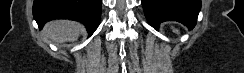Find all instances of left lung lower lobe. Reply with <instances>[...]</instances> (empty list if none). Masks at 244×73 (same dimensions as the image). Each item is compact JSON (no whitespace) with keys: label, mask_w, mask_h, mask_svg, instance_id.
<instances>
[{"label":"left lung lower lobe","mask_w":244,"mask_h":73,"mask_svg":"<svg viewBox=\"0 0 244 73\" xmlns=\"http://www.w3.org/2000/svg\"><path fill=\"white\" fill-rule=\"evenodd\" d=\"M149 24L158 28L163 21H177L194 28L201 8L200 0H141Z\"/></svg>","instance_id":"obj_1"}]
</instances>
